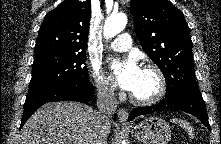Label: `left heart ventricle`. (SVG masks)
<instances>
[{
  "mask_svg": "<svg viewBox=\"0 0 221 144\" xmlns=\"http://www.w3.org/2000/svg\"><path fill=\"white\" fill-rule=\"evenodd\" d=\"M158 81L154 73L141 70L138 83L132 94L139 98H148L156 92Z\"/></svg>",
  "mask_w": 221,
  "mask_h": 144,
  "instance_id": "b2bd125f",
  "label": "left heart ventricle"
}]
</instances>
